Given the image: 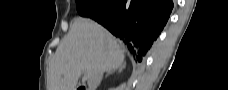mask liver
Listing matches in <instances>:
<instances>
[{"instance_id":"1","label":"liver","mask_w":228,"mask_h":90,"mask_svg":"<svg viewBox=\"0 0 228 90\" xmlns=\"http://www.w3.org/2000/svg\"><path fill=\"white\" fill-rule=\"evenodd\" d=\"M124 65V54L117 40L96 22L76 18L56 49L49 65L48 90H75L97 70L111 71Z\"/></svg>"}]
</instances>
